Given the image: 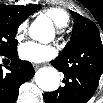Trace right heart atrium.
Segmentation results:
<instances>
[{"mask_svg":"<svg viewBox=\"0 0 103 103\" xmlns=\"http://www.w3.org/2000/svg\"><path fill=\"white\" fill-rule=\"evenodd\" d=\"M26 30H27V22L24 21L17 28L16 39L21 40L24 37Z\"/></svg>","mask_w":103,"mask_h":103,"instance_id":"1","label":"right heart atrium"}]
</instances>
